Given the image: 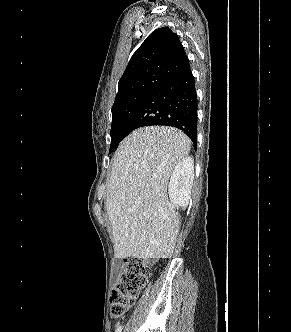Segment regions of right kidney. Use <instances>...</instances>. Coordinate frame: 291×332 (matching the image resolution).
I'll return each mask as SVG.
<instances>
[{
    "mask_svg": "<svg viewBox=\"0 0 291 332\" xmlns=\"http://www.w3.org/2000/svg\"><path fill=\"white\" fill-rule=\"evenodd\" d=\"M193 179V159L186 157L177 164L170 178L169 198L173 205L180 207L188 205Z\"/></svg>",
    "mask_w": 291,
    "mask_h": 332,
    "instance_id": "obj_1",
    "label": "right kidney"
}]
</instances>
